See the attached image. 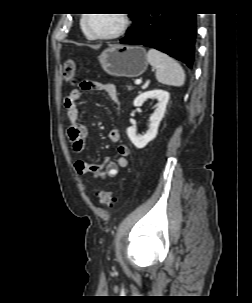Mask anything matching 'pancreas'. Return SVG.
Listing matches in <instances>:
<instances>
[{
    "instance_id": "1",
    "label": "pancreas",
    "mask_w": 252,
    "mask_h": 303,
    "mask_svg": "<svg viewBox=\"0 0 252 303\" xmlns=\"http://www.w3.org/2000/svg\"><path fill=\"white\" fill-rule=\"evenodd\" d=\"M127 88H128L129 90L133 89V87H132L131 85H127Z\"/></svg>"
}]
</instances>
